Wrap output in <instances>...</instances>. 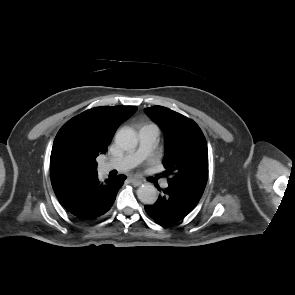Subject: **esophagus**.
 Returning a JSON list of instances; mask_svg holds the SVG:
<instances>
[{"mask_svg":"<svg viewBox=\"0 0 295 295\" xmlns=\"http://www.w3.org/2000/svg\"><path fill=\"white\" fill-rule=\"evenodd\" d=\"M130 182L134 185V186H139L141 185V180L136 179V178H130Z\"/></svg>","mask_w":295,"mask_h":295,"instance_id":"34e87169","label":"esophagus"}]
</instances>
